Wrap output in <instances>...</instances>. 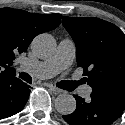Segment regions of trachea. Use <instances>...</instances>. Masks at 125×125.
I'll return each instance as SVG.
<instances>
[{"mask_svg": "<svg viewBox=\"0 0 125 125\" xmlns=\"http://www.w3.org/2000/svg\"><path fill=\"white\" fill-rule=\"evenodd\" d=\"M19 77L21 79H23L24 81L28 82V83H31L32 82V77L27 74V73H20ZM80 83L79 82H70V81H67V82H63L62 84H59V87L60 88H63V89H66V90H69V91H72L74 90Z\"/></svg>", "mask_w": 125, "mask_h": 125, "instance_id": "1", "label": "trachea"}]
</instances>
